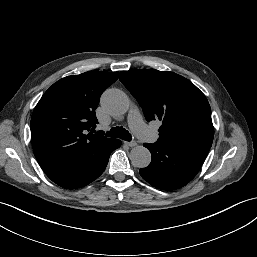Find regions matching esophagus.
Instances as JSON below:
<instances>
[{
	"label": "esophagus",
	"instance_id": "obj_1",
	"mask_svg": "<svg viewBox=\"0 0 257 257\" xmlns=\"http://www.w3.org/2000/svg\"><path fill=\"white\" fill-rule=\"evenodd\" d=\"M126 145H128L129 147H134L137 145V143L135 141H130V142H124Z\"/></svg>",
	"mask_w": 257,
	"mask_h": 257
}]
</instances>
